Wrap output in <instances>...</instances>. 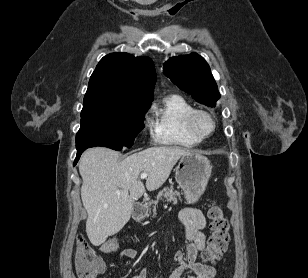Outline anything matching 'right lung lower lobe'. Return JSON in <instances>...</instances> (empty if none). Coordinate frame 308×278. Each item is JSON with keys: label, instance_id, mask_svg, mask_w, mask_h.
<instances>
[{"label": "right lung lower lobe", "instance_id": "obj_1", "mask_svg": "<svg viewBox=\"0 0 308 278\" xmlns=\"http://www.w3.org/2000/svg\"><path fill=\"white\" fill-rule=\"evenodd\" d=\"M87 148H82V149H77V156L76 159L74 161V165L77 163V161L79 160L81 154L86 150Z\"/></svg>", "mask_w": 308, "mask_h": 278}]
</instances>
